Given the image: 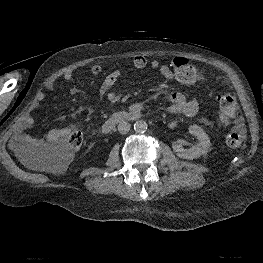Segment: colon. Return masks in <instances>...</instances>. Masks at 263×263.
Masks as SVG:
<instances>
[{
	"label": "colon",
	"instance_id": "5ec220e1",
	"mask_svg": "<svg viewBox=\"0 0 263 263\" xmlns=\"http://www.w3.org/2000/svg\"><path fill=\"white\" fill-rule=\"evenodd\" d=\"M172 69L175 79L183 85H195L204 80L202 73L185 58H174L172 60ZM217 101L219 103L218 119L220 123L224 125L231 123L237 110L235 100L229 95L218 93ZM225 141L227 146L232 149L240 148L244 141V134L240 130H232L226 135ZM82 143V132L72 130L66 138V145L59 146L52 151V160L56 164H64L67 162L71 151L79 149Z\"/></svg>",
	"mask_w": 263,
	"mask_h": 263
}]
</instances>
